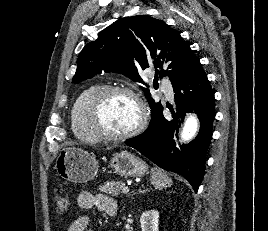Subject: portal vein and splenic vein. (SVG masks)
<instances>
[{
	"mask_svg": "<svg viewBox=\"0 0 268 231\" xmlns=\"http://www.w3.org/2000/svg\"><path fill=\"white\" fill-rule=\"evenodd\" d=\"M122 192L127 194L129 192V188L128 187H123Z\"/></svg>",
	"mask_w": 268,
	"mask_h": 231,
	"instance_id": "obj_1",
	"label": "portal vein and splenic vein"
}]
</instances>
